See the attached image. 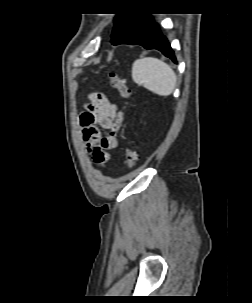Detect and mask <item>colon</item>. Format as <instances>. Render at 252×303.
I'll return each mask as SVG.
<instances>
[{"instance_id":"1","label":"colon","mask_w":252,"mask_h":303,"mask_svg":"<svg viewBox=\"0 0 252 303\" xmlns=\"http://www.w3.org/2000/svg\"><path fill=\"white\" fill-rule=\"evenodd\" d=\"M108 76L111 86L119 92L120 97H122L123 99H130L132 91L128 87L126 80L114 72H110ZM123 153L125 156L127 167L133 168L137 161L136 151L132 146L127 145L124 147Z\"/></svg>"}]
</instances>
